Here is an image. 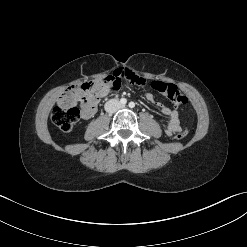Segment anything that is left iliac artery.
Masks as SVG:
<instances>
[{"label": "left iliac artery", "instance_id": "left-iliac-artery-1", "mask_svg": "<svg viewBox=\"0 0 247 247\" xmlns=\"http://www.w3.org/2000/svg\"><path fill=\"white\" fill-rule=\"evenodd\" d=\"M129 107H130V108H134V107H135V103H134V102H130V103H129Z\"/></svg>", "mask_w": 247, "mask_h": 247}]
</instances>
